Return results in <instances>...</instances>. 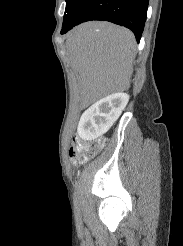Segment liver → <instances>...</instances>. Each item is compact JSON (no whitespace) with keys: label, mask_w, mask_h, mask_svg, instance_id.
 <instances>
[{"label":"liver","mask_w":183,"mask_h":246,"mask_svg":"<svg viewBox=\"0 0 183 246\" xmlns=\"http://www.w3.org/2000/svg\"><path fill=\"white\" fill-rule=\"evenodd\" d=\"M67 54L86 103L130 86L136 41L133 33L109 22H87L67 34Z\"/></svg>","instance_id":"1"}]
</instances>
